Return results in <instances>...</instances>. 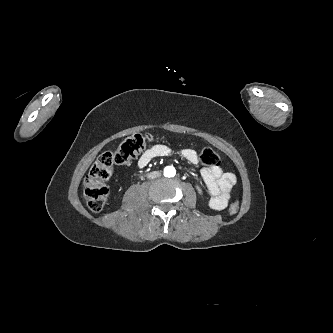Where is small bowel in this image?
Instances as JSON below:
<instances>
[{
	"label": "small bowel",
	"mask_w": 333,
	"mask_h": 333,
	"mask_svg": "<svg viewBox=\"0 0 333 333\" xmlns=\"http://www.w3.org/2000/svg\"><path fill=\"white\" fill-rule=\"evenodd\" d=\"M172 153L170 147L166 145H155L146 150L138 160V167L145 168L153 159L168 156ZM180 155L189 163L197 164L198 155L195 150L183 148ZM201 176L206 183L210 194L209 206L214 210H223L227 207L230 195L236 184V176L232 172H226L222 167L214 165L204 167Z\"/></svg>",
	"instance_id": "c3829d8e"
}]
</instances>
